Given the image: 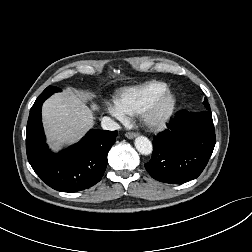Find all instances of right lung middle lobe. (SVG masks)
Wrapping results in <instances>:
<instances>
[{"mask_svg":"<svg viewBox=\"0 0 252 252\" xmlns=\"http://www.w3.org/2000/svg\"><path fill=\"white\" fill-rule=\"evenodd\" d=\"M61 89L58 87L54 86H48L42 93L41 95L37 98L34 104H37L40 101H45L48 97H50L52 94L55 92H60Z\"/></svg>","mask_w":252,"mask_h":252,"instance_id":"right-lung-middle-lobe-1","label":"right lung middle lobe"}]
</instances>
